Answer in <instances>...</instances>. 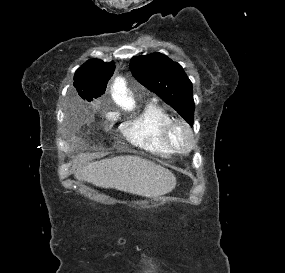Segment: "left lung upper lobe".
<instances>
[{
    "mask_svg": "<svg viewBox=\"0 0 285 273\" xmlns=\"http://www.w3.org/2000/svg\"><path fill=\"white\" fill-rule=\"evenodd\" d=\"M130 69L134 77L174 108L190 125L194 121L192 83L183 69L163 54L133 57Z\"/></svg>",
    "mask_w": 285,
    "mask_h": 273,
    "instance_id": "5c2ea615",
    "label": "left lung upper lobe"
}]
</instances>
